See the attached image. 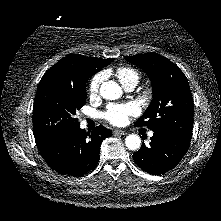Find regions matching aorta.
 I'll list each match as a JSON object with an SVG mask.
<instances>
[{"instance_id": "762f6f07", "label": "aorta", "mask_w": 221, "mask_h": 221, "mask_svg": "<svg viewBox=\"0 0 221 221\" xmlns=\"http://www.w3.org/2000/svg\"><path fill=\"white\" fill-rule=\"evenodd\" d=\"M122 93V88L114 81H106L100 87V95L107 100L119 99ZM125 144L130 150H138L141 146V138L136 134H130L126 137Z\"/></svg>"}]
</instances>
